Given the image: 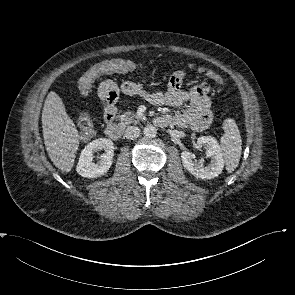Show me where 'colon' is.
<instances>
[{"mask_svg": "<svg viewBox=\"0 0 295 295\" xmlns=\"http://www.w3.org/2000/svg\"><path fill=\"white\" fill-rule=\"evenodd\" d=\"M138 67V66H137ZM136 67V68H137ZM134 70L132 66L122 59H113L106 60L101 63H98L93 68L87 71L84 75V78L81 83V89L83 91H89L95 79L102 74H111V73H125ZM208 74L219 83H223L222 78L214 73L209 71ZM184 80V73L177 72L171 76L170 82L173 83L176 87H181ZM79 127L81 135L85 137L92 136L94 132L92 118L88 114L81 116L79 120Z\"/></svg>", "mask_w": 295, "mask_h": 295, "instance_id": "colon-1", "label": "colon"}]
</instances>
